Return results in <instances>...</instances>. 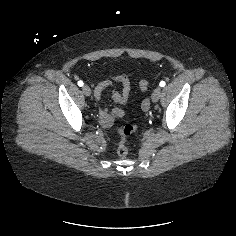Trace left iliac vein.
Masks as SVG:
<instances>
[{"mask_svg": "<svg viewBox=\"0 0 236 236\" xmlns=\"http://www.w3.org/2000/svg\"><path fill=\"white\" fill-rule=\"evenodd\" d=\"M162 94V90L160 87L155 88V90L153 91L152 95H151V99L153 102H158V100L160 99Z\"/></svg>", "mask_w": 236, "mask_h": 236, "instance_id": "1", "label": "left iliac vein"}]
</instances>
